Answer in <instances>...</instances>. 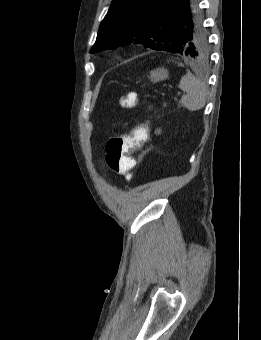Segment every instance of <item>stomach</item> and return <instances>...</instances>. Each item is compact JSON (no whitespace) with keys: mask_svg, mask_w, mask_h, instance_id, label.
Here are the masks:
<instances>
[{"mask_svg":"<svg viewBox=\"0 0 261 340\" xmlns=\"http://www.w3.org/2000/svg\"><path fill=\"white\" fill-rule=\"evenodd\" d=\"M150 80L154 83L168 78V71L164 68H158L150 72Z\"/></svg>","mask_w":261,"mask_h":340,"instance_id":"stomach-1","label":"stomach"}]
</instances>
